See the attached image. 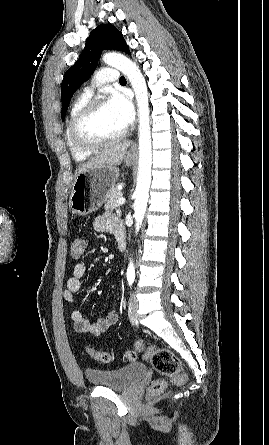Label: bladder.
Segmentation results:
<instances>
[{
  "mask_svg": "<svg viewBox=\"0 0 269 445\" xmlns=\"http://www.w3.org/2000/svg\"><path fill=\"white\" fill-rule=\"evenodd\" d=\"M146 373V365L134 363L117 369H87L85 378L94 386L125 390L135 385Z\"/></svg>",
  "mask_w": 269,
  "mask_h": 445,
  "instance_id": "31cf9c89",
  "label": "bladder"
}]
</instances>
